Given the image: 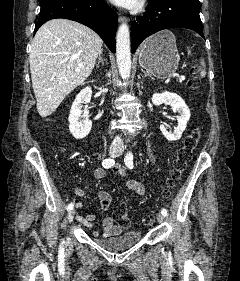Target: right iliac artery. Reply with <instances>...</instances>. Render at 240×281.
<instances>
[{
	"mask_svg": "<svg viewBox=\"0 0 240 281\" xmlns=\"http://www.w3.org/2000/svg\"><path fill=\"white\" fill-rule=\"evenodd\" d=\"M114 164H115V161H114V159H112V158L105 159V160H103V162H102V166H103L104 168H107V169H108V168H111ZM73 207H74V203H70V204L67 205L66 209H67L68 211H70V210L73 209Z\"/></svg>",
	"mask_w": 240,
	"mask_h": 281,
	"instance_id": "1",
	"label": "right iliac artery"
}]
</instances>
